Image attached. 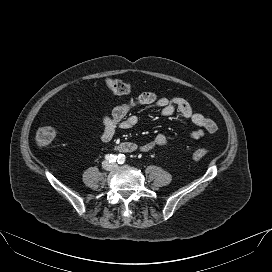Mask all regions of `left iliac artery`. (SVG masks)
Returning a JSON list of instances; mask_svg holds the SVG:
<instances>
[{
	"label": "left iliac artery",
	"mask_w": 272,
	"mask_h": 272,
	"mask_svg": "<svg viewBox=\"0 0 272 272\" xmlns=\"http://www.w3.org/2000/svg\"><path fill=\"white\" fill-rule=\"evenodd\" d=\"M125 155H123V154H119L118 155V163L119 164H123L124 162H125Z\"/></svg>",
	"instance_id": "1"
}]
</instances>
